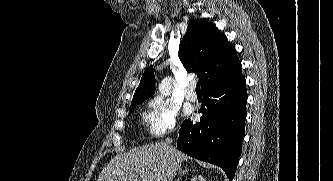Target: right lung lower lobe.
<instances>
[{
	"label": "right lung lower lobe",
	"mask_w": 333,
	"mask_h": 181,
	"mask_svg": "<svg viewBox=\"0 0 333 181\" xmlns=\"http://www.w3.org/2000/svg\"><path fill=\"white\" fill-rule=\"evenodd\" d=\"M247 90L241 73L203 90L199 123L185 120L177 148L191 157L221 167L232 181L245 134Z\"/></svg>",
	"instance_id": "98d812e1"
}]
</instances>
